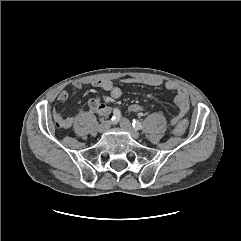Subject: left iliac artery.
Instances as JSON below:
<instances>
[{
    "mask_svg": "<svg viewBox=\"0 0 241 241\" xmlns=\"http://www.w3.org/2000/svg\"><path fill=\"white\" fill-rule=\"evenodd\" d=\"M132 125L136 130L142 129V124L138 120L133 119Z\"/></svg>",
    "mask_w": 241,
    "mask_h": 241,
    "instance_id": "1",
    "label": "left iliac artery"
}]
</instances>
